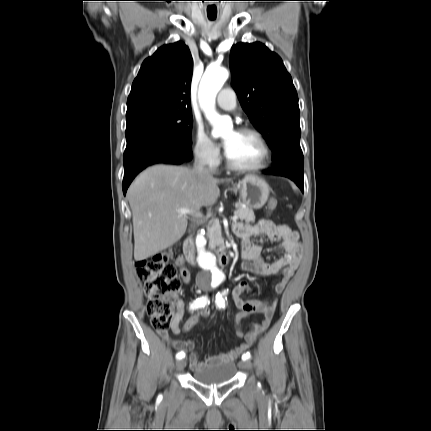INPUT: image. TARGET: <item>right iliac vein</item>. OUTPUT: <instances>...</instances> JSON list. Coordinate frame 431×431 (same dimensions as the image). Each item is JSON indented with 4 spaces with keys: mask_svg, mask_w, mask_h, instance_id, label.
I'll return each instance as SVG.
<instances>
[{
    "mask_svg": "<svg viewBox=\"0 0 431 431\" xmlns=\"http://www.w3.org/2000/svg\"><path fill=\"white\" fill-rule=\"evenodd\" d=\"M185 366H186V361L185 360H179L176 363V370L181 371L184 369Z\"/></svg>",
    "mask_w": 431,
    "mask_h": 431,
    "instance_id": "63e3f726",
    "label": "right iliac vein"
}]
</instances>
